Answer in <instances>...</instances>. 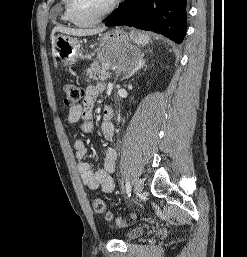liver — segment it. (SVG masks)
<instances>
[{
    "instance_id": "6515ba94",
    "label": "liver",
    "mask_w": 247,
    "mask_h": 257,
    "mask_svg": "<svg viewBox=\"0 0 247 257\" xmlns=\"http://www.w3.org/2000/svg\"><path fill=\"white\" fill-rule=\"evenodd\" d=\"M105 30V27L103 28H96V29H74V28H68V27H63V26H56L51 33V38L53 40L54 35L56 32H60L63 34L67 35H72V36H89V35H94L97 33H100Z\"/></svg>"
}]
</instances>
